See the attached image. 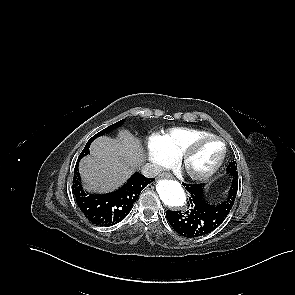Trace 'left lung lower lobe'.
<instances>
[{"instance_id":"0a47b994","label":"left lung lower lobe","mask_w":295,"mask_h":295,"mask_svg":"<svg viewBox=\"0 0 295 295\" xmlns=\"http://www.w3.org/2000/svg\"><path fill=\"white\" fill-rule=\"evenodd\" d=\"M229 175L232 183L228 195L219 204H210L205 199L204 185L183 183L190 193L188 204L191 208L186 212L168 210L166 217L170 225L187 238L202 236L216 229L230 213L238 190V173L230 172Z\"/></svg>"}]
</instances>
